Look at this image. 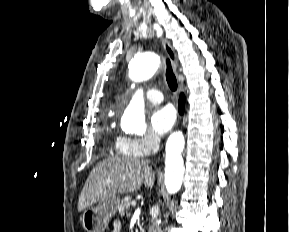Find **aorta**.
<instances>
[{"mask_svg":"<svg viewBox=\"0 0 289 232\" xmlns=\"http://www.w3.org/2000/svg\"><path fill=\"white\" fill-rule=\"evenodd\" d=\"M160 66V57L155 53L136 55L130 62V78L133 81H146L150 79ZM122 127L126 132L143 135L146 131L144 115L143 91L138 90L126 108ZM185 139L182 132L172 133L166 143L165 157V185L170 194L177 193L183 182L184 162L181 153L184 149Z\"/></svg>","mask_w":289,"mask_h":232,"instance_id":"aorta-1","label":"aorta"}]
</instances>
